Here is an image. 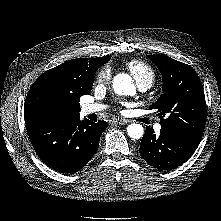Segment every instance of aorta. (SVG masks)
I'll list each match as a JSON object with an SVG mask.
<instances>
[{
    "mask_svg": "<svg viewBox=\"0 0 221 221\" xmlns=\"http://www.w3.org/2000/svg\"><path fill=\"white\" fill-rule=\"evenodd\" d=\"M132 78L125 73H120L113 80V89L119 95L129 94L133 90ZM144 129L142 125L133 123L128 125L127 133L133 139H140L143 136Z\"/></svg>",
    "mask_w": 221,
    "mask_h": 221,
    "instance_id": "762f6f07",
    "label": "aorta"
}]
</instances>
